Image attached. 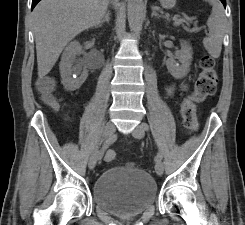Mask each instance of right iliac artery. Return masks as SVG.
<instances>
[{
  "instance_id": "1",
  "label": "right iliac artery",
  "mask_w": 245,
  "mask_h": 225,
  "mask_svg": "<svg viewBox=\"0 0 245 225\" xmlns=\"http://www.w3.org/2000/svg\"><path fill=\"white\" fill-rule=\"evenodd\" d=\"M116 139H117V136H116V135H113L111 138L107 139V140L104 142V144H103V146H102V149H101V151H100V156H99L98 160H101V159H102V157H103V155H104L105 149H106L110 144L114 143V142L116 141Z\"/></svg>"
}]
</instances>
